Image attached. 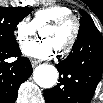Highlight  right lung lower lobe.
Returning a JSON list of instances; mask_svg holds the SVG:
<instances>
[{
    "label": "right lung lower lobe",
    "instance_id": "right-lung-lower-lobe-1",
    "mask_svg": "<svg viewBox=\"0 0 103 103\" xmlns=\"http://www.w3.org/2000/svg\"><path fill=\"white\" fill-rule=\"evenodd\" d=\"M15 57L12 63L5 60ZM28 58L21 56L19 45H0V103H14L20 85L32 74Z\"/></svg>",
    "mask_w": 103,
    "mask_h": 103
}]
</instances>
